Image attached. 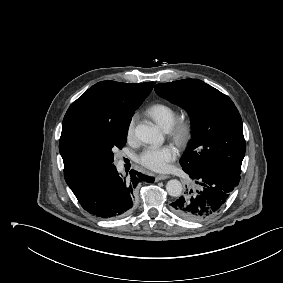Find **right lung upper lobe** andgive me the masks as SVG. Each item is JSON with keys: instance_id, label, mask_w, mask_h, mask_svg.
Listing matches in <instances>:
<instances>
[{"instance_id": "1", "label": "right lung upper lobe", "mask_w": 283, "mask_h": 283, "mask_svg": "<svg viewBox=\"0 0 283 283\" xmlns=\"http://www.w3.org/2000/svg\"><path fill=\"white\" fill-rule=\"evenodd\" d=\"M154 84L101 81L71 104L63 119L59 141L64 177L70 188L103 171L95 159L74 146L72 139L75 131L94 124L132 117Z\"/></svg>"}]
</instances>
